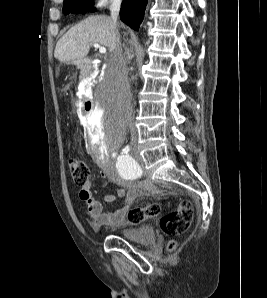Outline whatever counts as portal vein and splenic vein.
<instances>
[{"mask_svg":"<svg viewBox=\"0 0 267 298\" xmlns=\"http://www.w3.org/2000/svg\"><path fill=\"white\" fill-rule=\"evenodd\" d=\"M93 46H94L95 48H98V49H99V52H100L101 54H105V53H106V48L103 47V46H101V45H99L98 43H94Z\"/></svg>","mask_w":267,"mask_h":298,"instance_id":"18ae733b","label":"portal vein and splenic vein"}]
</instances>
